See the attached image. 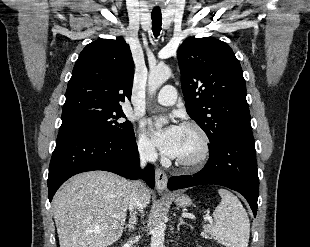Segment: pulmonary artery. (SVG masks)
<instances>
[{"instance_id":"pulmonary-artery-1","label":"pulmonary artery","mask_w":310,"mask_h":247,"mask_svg":"<svg viewBox=\"0 0 310 247\" xmlns=\"http://www.w3.org/2000/svg\"><path fill=\"white\" fill-rule=\"evenodd\" d=\"M176 99H177L176 89L171 85H167L160 90L156 98V101L161 105L170 106L176 102Z\"/></svg>"}]
</instances>
